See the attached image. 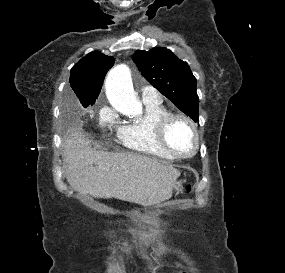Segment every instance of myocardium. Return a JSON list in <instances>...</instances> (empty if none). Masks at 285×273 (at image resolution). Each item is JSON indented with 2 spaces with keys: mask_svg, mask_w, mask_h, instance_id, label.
Masks as SVG:
<instances>
[{
  "mask_svg": "<svg viewBox=\"0 0 285 273\" xmlns=\"http://www.w3.org/2000/svg\"><path fill=\"white\" fill-rule=\"evenodd\" d=\"M178 119L183 120L189 126L194 137L193 149L188 153L174 149L168 141V129L170 125ZM157 134L159 141L163 145V147L172 154H174L176 157H192L198 152L200 148V135L197 125L189 116L183 113H168L167 115H165L158 123Z\"/></svg>",
  "mask_w": 285,
  "mask_h": 273,
  "instance_id": "myocardium-1",
  "label": "myocardium"
}]
</instances>
